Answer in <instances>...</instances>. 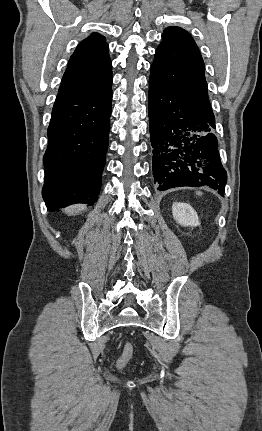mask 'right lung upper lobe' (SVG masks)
Returning <instances> with one entry per match:
<instances>
[{
	"label": "right lung upper lobe",
	"mask_w": 262,
	"mask_h": 431,
	"mask_svg": "<svg viewBox=\"0 0 262 431\" xmlns=\"http://www.w3.org/2000/svg\"><path fill=\"white\" fill-rule=\"evenodd\" d=\"M105 38L93 33L71 56L58 94H100L111 88L112 64Z\"/></svg>",
	"instance_id": "right-lung-upper-lobe-1"
}]
</instances>
